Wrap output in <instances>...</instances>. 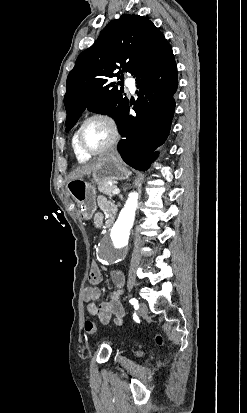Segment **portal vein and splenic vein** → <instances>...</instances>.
<instances>
[{"instance_id": "18ae733b", "label": "portal vein and splenic vein", "mask_w": 247, "mask_h": 413, "mask_svg": "<svg viewBox=\"0 0 247 413\" xmlns=\"http://www.w3.org/2000/svg\"><path fill=\"white\" fill-rule=\"evenodd\" d=\"M120 192V188H114V190H112V194H119Z\"/></svg>"}]
</instances>
